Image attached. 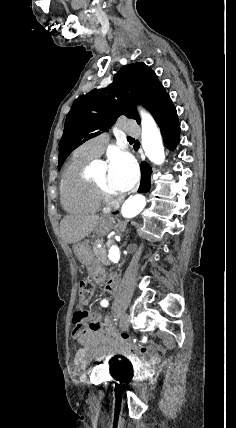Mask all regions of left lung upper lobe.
Returning <instances> with one entry per match:
<instances>
[{"label": "left lung upper lobe", "instance_id": "left-lung-upper-lobe-1", "mask_svg": "<svg viewBox=\"0 0 236 428\" xmlns=\"http://www.w3.org/2000/svg\"><path fill=\"white\" fill-rule=\"evenodd\" d=\"M135 101L153 116L172 102L156 74L143 62L122 67L107 88L79 96L65 120L58 169L75 148L108 130L120 115L140 124Z\"/></svg>", "mask_w": 236, "mask_h": 428}]
</instances>
